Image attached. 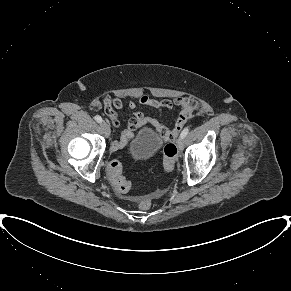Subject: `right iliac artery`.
I'll return each instance as SVG.
<instances>
[{
	"mask_svg": "<svg viewBox=\"0 0 291 291\" xmlns=\"http://www.w3.org/2000/svg\"><path fill=\"white\" fill-rule=\"evenodd\" d=\"M95 120H96L98 123H101V122H102V118H101V116H99V115H96V116H95Z\"/></svg>",
	"mask_w": 291,
	"mask_h": 291,
	"instance_id": "obj_1",
	"label": "right iliac artery"
}]
</instances>
